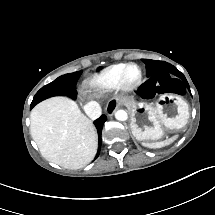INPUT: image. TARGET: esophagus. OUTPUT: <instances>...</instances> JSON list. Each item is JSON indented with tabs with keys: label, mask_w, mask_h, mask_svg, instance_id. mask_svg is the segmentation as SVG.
<instances>
[{
	"label": "esophagus",
	"mask_w": 215,
	"mask_h": 215,
	"mask_svg": "<svg viewBox=\"0 0 215 215\" xmlns=\"http://www.w3.org/2000/svg\"><path fill=\"white\" fill-rule=\"evenodd\" d=\"M120 104H121L120 99L112 98L106 106V114L108 116H112L114 114V112L116 111V109L120 106Z\"/></svg>",
	"instance_id": "1"
}]
</instances>
